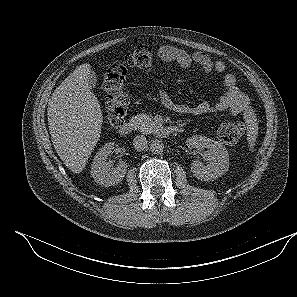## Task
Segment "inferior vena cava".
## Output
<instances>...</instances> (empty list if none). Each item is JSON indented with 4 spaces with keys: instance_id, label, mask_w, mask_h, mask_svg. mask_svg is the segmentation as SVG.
<instances>
[{
    "instance_id": "602c4592",
    "label": "inferior vena cava",
    "mask_w": 297,
    "mask_h": 297,
    "mask_svg": "<svg viewBox=\"0 0 297 297\" xmlns=\"http://www.w3.org/2000/svg\"><path fill=\"white\" fill-rule=\"evenodd\" d=\"M147 143V138L143 135H138L133 139V145L137 151H143L146 149Z\"/></svg>"
}]
</instances>
